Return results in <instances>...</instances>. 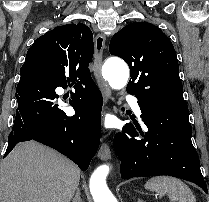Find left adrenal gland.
Returning a JSON list of instances; mask_svg holds the SVG:
<instances>
[{
	"instance_id": "obj_1",
	"label": "left adrenal gland",
	"mask_w": 209,
	"mask_h": 202,
	"mask_svg": "<svg viewBox=\"0 0 209 202\" xmlns=\"http://www.w3.org/2000/svg\"><path fill=\"white\" fill-rule=\"evenodd\" d=\"M137 202H143L141 199H138Z\"/></svg>"
}]
</instances>
